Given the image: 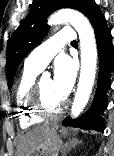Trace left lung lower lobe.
I'll return each mask as SVG.
<instances>
[{"label": "left lung lower lobe", "mask_w": 114, "mask_h": 156, "mask_svg": "<svg viewBox=\"0 0 114 156\" xmlns=\"http://www.w3.org/2000/svg\"><path fill=\"white\" fill-rule=\"evenodd\" d=\"M87 17L95 31L99 54L97 89L88 111L76 120L67 117L63 123L66 126L79 127L85 130L93 129L103 133L105 124L102 115H104V109L108 105L106 93L111 85L110 73L114 69V47L110 30L106 25V19L96 3L89 10Z\"/></svg>", "instance_id": "1"}]
</instances>
